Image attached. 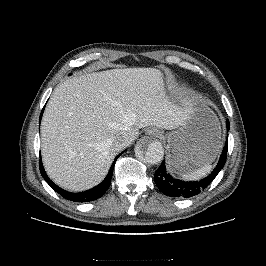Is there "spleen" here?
Instances as JSON below:
<instances>
[{
	"label": "spleen",
	"instance_id": "spleen-1",
	"mask_svg": "<svg viewBox=\"0 0 266 266\" xmlns=\"http://www.w3.org/2000/svg\"><path fill=\"white\" fill-rule=\"evenodd\" d=\"M211 170H212V165L207 164L192 172L184 173L182 177L185 180H197L209 174Z\"/></svg>",
	"mask_w": 266,
	"mask_h": 266
}]
</instances>
